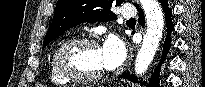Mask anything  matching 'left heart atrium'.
<instances>
[{
    "label": "left heart atrium",
    "mask_w": 205,
    "mask_h": 87,
    "mask_svg": "<svg viewBox=\"0 0 205 87\" xmlns=\"http://www.w3.org/2000/svg\"><path fill=\"white\" fill-rule=\"evenodd\" d=\"M104 65L115 68L120 65L125 58V48L123 43L116 37H109L101 48Z\"/></svg>",
    "instance_id": "39dd6f15"
}]
</instances>
